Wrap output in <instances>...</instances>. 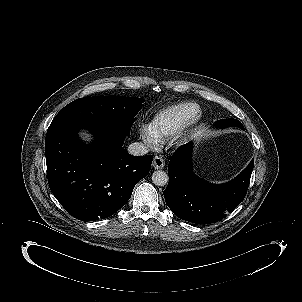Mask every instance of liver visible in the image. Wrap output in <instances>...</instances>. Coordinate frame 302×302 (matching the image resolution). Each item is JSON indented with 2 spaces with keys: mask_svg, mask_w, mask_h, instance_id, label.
<instances>
[{
  "mask_svg": "<svg viewBox=\"0 0 302 302\" xmlns=\"http://www.w3.org/2000/svg\"><path fill=\"white\" fill-rule=\"evenodd\" d=\"M85 139H86V140H88V139H89V138H88V135L85 137Z\"/></svg>",
  "mask_w": 302,
  "mask_h": 302,
  "instance_id": "6515ba94",
  "label": "liver"
}]
</instances>
